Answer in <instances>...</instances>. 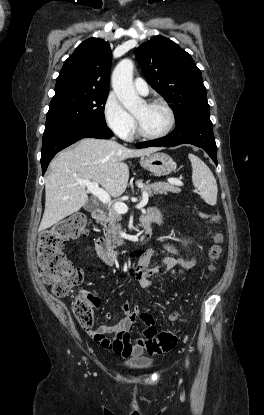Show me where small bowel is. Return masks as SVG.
<instances>
[{"label": "small bowel", "instance_id": "obj_1", "mask_svg": "<svg viewBox=\"0 0 264 415\" xmlns=\"http://www.w3.org/2000/svg\"><path fill=\"white\" fill-rule=\"evenodd\" d=\"M141 217H146L149 223L159 225L163 223L162 213L154 207L147 208ZM163 245L175 254L181 253V250L176 245L167 240L163 241ZM184 258L188 264H193L196 261L195 256L191 252L184 253ZM176 263L177 261L173 257H158L153 251H147L134 267L139 285L142 288L153 287L162 276L174 269ZM120 305L125 313L122 319L113 325L101 324L96 329L88 331V334L94 338L95 344L99 347L112 350L124 357L141 358L145 344L140 340L132 343L129 338V330L137 316L143 311V307L140 304L131 307L126 301H121ZM105 316L108 319L112 317L110 313H107ZM146 321L147 328L157 332L154 321L150 317L146 318ZM111 333H114V337L107 338L106 335Z\"/></svg>", "mask_w": 264, "mask_h": 415}]
</instances>
